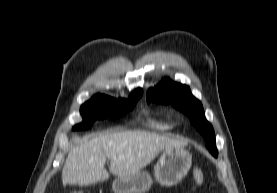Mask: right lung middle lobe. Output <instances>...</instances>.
I'll use <instances>...</instances> for the list:
<instances>
[{
    "label": "right lung middle lobe",
    "instance_id": "1",
    "mask_svg": "<svg viewBox=\"0 0 277 193\" xmlns=\"http://www.w3.org/2000/svg\"><path fill=\"white\" fill-rule=\"evenodd\" d=\"M142 94H131L128 99H114L105 95H95L80 108L83 122L73 130L89 129L95 120H114L131 110Z\"/></svg>",
    "mask_w": 277,
    "mask_h": 193
}]
</instances>
